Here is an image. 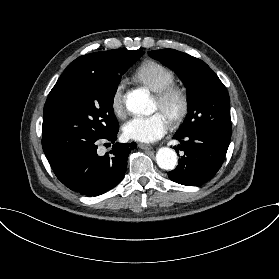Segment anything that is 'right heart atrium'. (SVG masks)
Instances as JSON below:
<instances>
[{
  "instance_id": "d8ad5b80",
  "label": "right heart atrium",
  "mask_w": 279,
  "mask_h": 279,
  "mask_svg": "<svg viewBox=\"0 0 279 279\" xmlns=\"http://www.w3.org/2000/svg\"><path fill=\"white\" fill-rule=\"evenodd\" d=\"M125 81L122 80L118 82L110 96V108L112 113L117 117V118H122L124 116V92H125Z\"/></svg>"
}]
</instances>
